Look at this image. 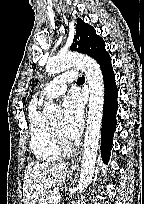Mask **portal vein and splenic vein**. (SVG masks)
<instances>
[{
    "instance_id": "18ae733b",
    "label": "portal vein and splenic vein",
    "mask_w": 144,
    "mask_h": 204,
    "mask_svg": "<svg viewBox=\"0 0 144 204\" xmlns=\"http://www.w3.org/2000/svg\"><path fill=\"white\" fill-rule=\"evenodd\" d=\"M60 198H61V195H60V194H56V195H54V196H51V197L49 198V201H50V202H52V201H58V200H60Z\"/></svg>"
}]
</instances>
